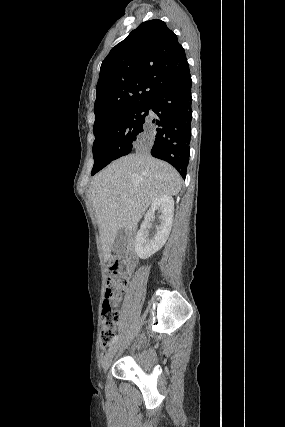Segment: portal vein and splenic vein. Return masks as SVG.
I'll use <instances>...</instances> for the list:
<instances>
[{
	"mask_svg": "<svg viewBox=\"0 0 285 427\" xmlns=\"http://www.w3.org/2000/svg\"><path fill=\"white\" fill-rule=\"evenodd\" d=\"M120 199H121L122 201L127 200L126 196H121V197H120ZM131 203H133V202L131 201Z\"/></svg>",
	"mask_w": 285,
	"mask_h": 427,
	"instance_id": "portal-vein-and-splenic-vein-1",
	"label": "portal vein and splenic vein"
}]
</instances>
